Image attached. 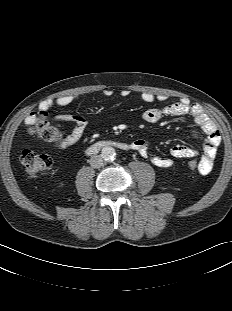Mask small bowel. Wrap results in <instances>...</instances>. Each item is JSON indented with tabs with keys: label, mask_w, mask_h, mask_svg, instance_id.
Segmentation results:
<instances>
[{
	"label": "small bowel",
	"mask_w": 232,
	"mask_h": 311,
	"mask_svg": "<svg viewBox=\"0 0 232 311\" xmlns=\"http://www.w3.org/2000/svg\"><path fill=\"white\" fill-rule=\"evenodd\" d=\"M122 97H128L130 91L124 89L121 91ZM103 95L110 97L112 95L111 90H104ZM78 98L77 94H67L56 97H49L41 101L40 110L47 111L53 106H67L74 102ZM140 98L145 102H153L155 99L165 100L164 95H155L152 92L144 91L140 94ZM164 116H190L197 127L204 134V140L202 144L203 155L200 161L199 170L203 174H207L211 171L213 160L216 156L217 146L221 141L220 131L215 123L209 118L204 109L197 105L191 104L186 99H181L178 102H174L165 105L161 108H149L142 114V118L147 123H156ZM57 122H71L74 124L72 131L65 136L62 140L56 143V147L64 149L76 144L84 135L88 125V121L82 114H59L53 117ZM37 122V116L34 113L29 114L25 118V125L32 127ZM132 149L137 151L143 157H149L152 164L159 168H170L173 166L174 161L170 157H163L158 155H150L148 143L144 139H137L131 143ZM170 154L174 158H189L198 154L197 149L184 145L177 144L170 149Z\"/></svg>",
	"instance_id": "1"
}]
</instances>
